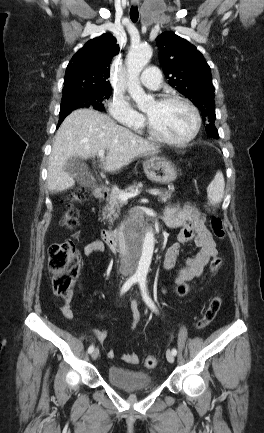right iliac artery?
<instances>
[{"label":"right iliac artery","mask_w":264,"mask_h":433,"mask_svg":"<svg viewBox=\"0 0 264 433\" xmlns=\"http://www.w3.org/2000/svg\"><path fill=\"white\" fill-rule=\"evenodd\" d=\"M138 280H139V279H138L137 277H131V278H129V279L124 283V285L122 286L121 294H123V293H125L126 291H128V290L130 289V287H131L133 284H135L136 282H138ZM93 350H94V346H93V345L89 346V348H88V353H92Z\"/></svg>","instance_id":"right-iliac-artery-1"}]
</instances>
